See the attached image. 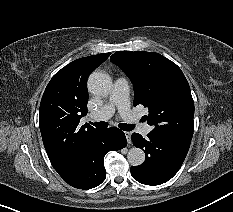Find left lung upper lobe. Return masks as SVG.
Masks as SVG:
<instances>
[{"label":"left lung upper lobe","mask_w":233,"mask_h":212,"mask_svg":"<svg viewBox=\"0 0 233 212\" xmlns=\"http://www.w3.org/2000/svg\"><path fill=\"white\" fill-rule=\"evenodd\" d=\"M110 60L131 79L133 105L148 107L144 119L154 126L150 133L191 143L194 102L181 69L153 52L117 51Z\"/></svg>","instance_id":"5c2ea615"}]
</instances>
